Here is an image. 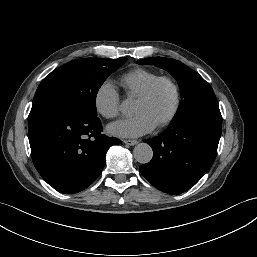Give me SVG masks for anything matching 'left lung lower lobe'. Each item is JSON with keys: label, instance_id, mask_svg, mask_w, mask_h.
<instances>
[{"label": "left lung lower lobe", "instance_id": "1", "mask_svg": "<svg viewBox=\"0 0 257 257\" xmlns=\"http://www.w3.org/2000/svg\"><path fill=\"white\" fill-rule=\"evenodd\" d=\"M222 130L217 103H208L173 120L159 136L144 140L153 149L141 174L156 188L179 194L195 185L212 166Z\"/></svg>", "mask_w": 257, "mask_h": 257}]
</instances>
